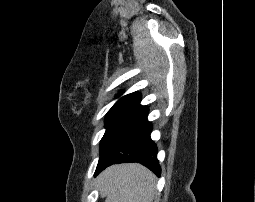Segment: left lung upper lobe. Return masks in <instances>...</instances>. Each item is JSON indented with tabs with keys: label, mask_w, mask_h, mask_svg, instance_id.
I'll use <instances>...</instances> for the list:
<instances>
[{
	"label": "left lung upper lobe",
	"mask_w": 255,
	"mask_h": 202,
	"mask_svg": "<svg viewBox=\"0 0 255 202\" xmlns=\"http://www.w3.org/2000/svg\"><path fill=\"white\" fill-rule=\"evenodd\" d=\"M137 92L121 97L108 111L106 132L100 143L99 161H109L123 148L126 141L147 120L148 107L140 105Z\"/></svg>",
	"instance_id": "obj_1"
}]
</instances>
